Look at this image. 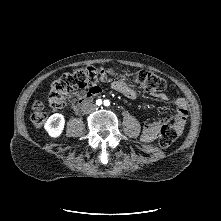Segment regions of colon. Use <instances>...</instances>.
<instances>
[{"instance_id":"5ec220e1","label":"colon","mask_w":221,"mask_h":221,"mask_svg":"<svg viewBox=\"0 0 221 221\" xmlns=\"http://www.w3.org/2000/svg\"><path fill=\"white\" fill-rule=\"evenodd\" d=\"M119 77L122 80H131L139 88L147 92H160L166 87L165 80L159 75L147 71H130L127 69L115 70L113 68L87 67L78 69L72 73L60 76L51 86L48 96L49 105L52 108H63L69 96L76 91L88 89L96 91L99 84L113 78ZM47 118L44 105L36 102L31 113V122L36 127H41ZM178 136V132L172 123H166L161 127L159 145L166 149L170 147Z\"/></svg>"}]
</instances>
